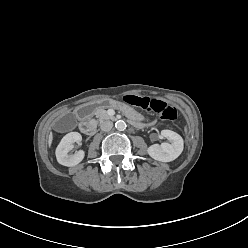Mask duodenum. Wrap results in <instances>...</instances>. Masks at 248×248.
<instances>
[{
	"mask_svg": "<svg viewBox=\"0 0 248 248\" xmlns=\"http://www.w3.org/2000/svg\"><path fill=\"white\" fill-rule=\"evenodd\" d=\"M90 104H83L78 108L77 115L82 120L80 123L81 131L86 135H92L96 131V124L85 119L93 112L89 109Z\"/></svg>",
	"mask_w": 248,
	"mask_h": 248,
	"instance_id": "obj_1",
	"label": "duodenum"
}]
</instances>
